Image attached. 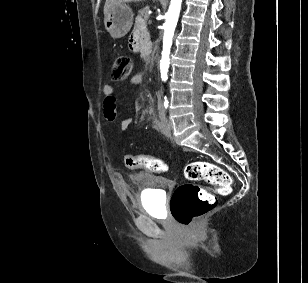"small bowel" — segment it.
Here are the masks:
<instances>
[{"label":"small bowel","mask_w":308,"mask_h":283,"mask_svg":"<svg viewBox=\"0 0 308 283\" xmlns=\"http://www.w3.org/2000/svg\"><path fill=\"white\" fill-rule=\"evenodd\" d=\"M147 34L145 21L138 17L135 21V27L129 37V48L134 52L140 51V39L141 37ZM142 80L141 73H137L133 75L131 78V82L133 84H138ZM103 93L105 96L104 99V117L107 121L115 122L117 120V106H116V98L114 95V88L111 84H105L103 86ZM138 118L141 119L144 116V110L139 108L137 111ZM131 124V119L125 117L118 122L119 128L122 131H127Z\"/></svg>","instance_id":"c3829d8e"}]
</instances>
